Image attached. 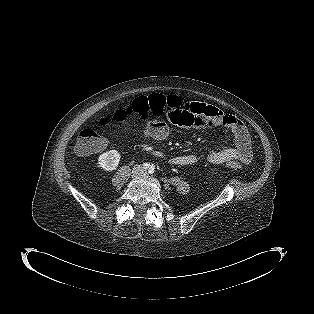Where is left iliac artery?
<instances>
[{"label":"left iliac artery","mask_w":314,"mask_h":314,"mask_svg":"<svg viewBox=\"0 0 314 314\" xmlns=\"http://www.w3.org/2000/svg\"><path fill=\"white\" fill-rule=\"evenodd\" d=\"M154 169H155V168H154L153 166H151V167L149 168V170H148L149 173H150V174L154 173Z\"/></svg>","instance_id":"1"}]
</instances>
